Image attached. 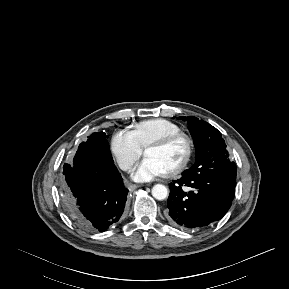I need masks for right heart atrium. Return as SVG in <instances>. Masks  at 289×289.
Masks as SVG:
<instances>
[{"mask_svg":"<svg viewBox=\"0 0 289 289\" xmlns=\"http://www.w3.org/2000/svg\"><path fill=\"white\" fill-rule=\"evenodd\" d=\"M110 148L123 170H130L142 154V147L136 136L128 129L118 130L112 135Z\"/></svg>","mask_w":289,"mask_h":289,"instance_id":"obj_1","label":"right heart atrium"}]
</instances>
